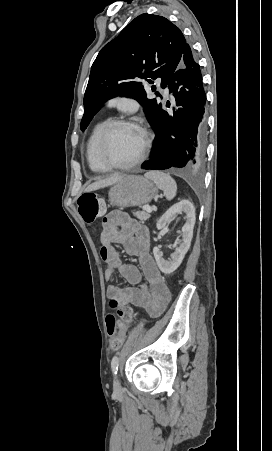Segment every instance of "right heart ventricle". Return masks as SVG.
Masks as SVG:
<instances>
[{
    "label": "right heart ventricle",
    "mask_w": 272,
    "mask_h": 451,
    "mask_svg": "<svg viewBox=\"0 0 272 451\" xmlns=\"http://www.w3.org/2000/svg\"><path fill=\"white\" fill-rule=\"evenodd\" d=\"M105 123H101L97 125L90 137L87 149V162L90 171L93 174H101L102 170L97 157V142L100 135V132Z\"/></svg>",
    "instance_id": "right-heart-ventricle-1"
}]
</instances>
